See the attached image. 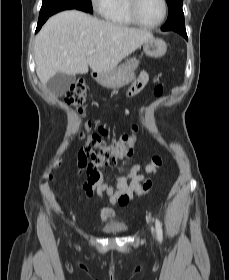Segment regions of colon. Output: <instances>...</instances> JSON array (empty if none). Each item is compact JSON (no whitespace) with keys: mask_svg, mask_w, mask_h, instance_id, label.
Segmentation results:
<instances>
[{"mask_svg":"<svg viewBox=\"0 0 229 280\" xmlns=\"http://www.w3.org/2000/svg\"><path fill=\"white\" fill-rule=\"evenodd\" d=\"M87 92L85 83L82 81L74 82L70 85L67 92V102L71 105L76 113L83 114V104L86 101ZM91 123L87 122L82 132L85 138L84 145L79 151V166L85 170L87 180L96 183L99 179V173L96 169L100 163L106 165H115L117 160L122 157H131L135 152L137 143L136 132L137 126L132 127L129 134L121 136L120 140L114 144H106L99 133H107V129L100 127L99 133H88ZM161 164L159 156L153 157L152 163L148 166L149 170H154L155 166ZM151 187V181L147 180L142 184L141 193L146 192Z\"/></svg>","mask_w":229,"mask_h":280,"instance_id":"colon-1","label":"colon"}]
</instances>
